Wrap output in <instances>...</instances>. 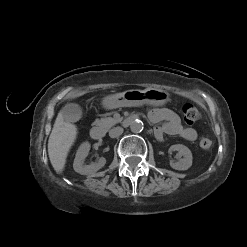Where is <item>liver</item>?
I'll return each instance as SVG.
<instances>
[{"label":"liver","mask_w":247,"mask_h":247,"mask_svg":"<svg viewBox=\"0 0 247 247\" xmlns=\"http://www.w3.org/2000/svg\"><path fill=\"white\" fill-rule=\"evenodd\" d=\"M77 133L76 125L66 122L60 111L48 140L49 159L57 173L64 170L66 158L76 140Z\"/></svg>","instance_id":"obj_1"}]
</instances>
